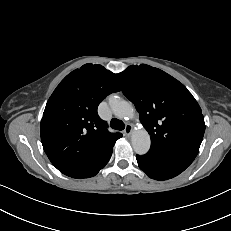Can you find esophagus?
<instances>
[{"mask_svg": "<svg viewBox=\"0 0 231 231\" xmlns=\"http://www.w3.org/2000/svg\"><path fill=\"white\" fill-rule=\"evenodd\" d=\"M132 131L133 126L131 124H127L123 132L126 136H129L132 133Z\"/></svg>", "mask_w": 231, "mask_h": 231, "instance_id": "1", "label": "esophagus"}]
</instances>
